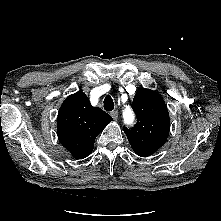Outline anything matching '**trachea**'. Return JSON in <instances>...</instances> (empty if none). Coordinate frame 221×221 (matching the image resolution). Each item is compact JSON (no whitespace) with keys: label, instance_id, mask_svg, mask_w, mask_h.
<instances>
[{"label":"trachea","instance_id":"obj_1","mask_svg":"<svg viewBox=\"0 0 221 221\" xmlns=\"http://www.w3.org/2000/svg\"><path fill=\"white\" fill-rule=\"evenodd\" d=\"M104 109L106 111H112L114 109V102L111 98V96H106L104 99Z\"/></svg>","mask_w":221,"mask_h":221}]
</instances>
